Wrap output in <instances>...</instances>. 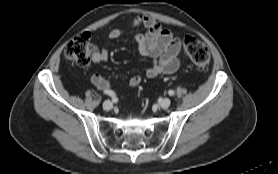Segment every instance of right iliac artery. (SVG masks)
Instances as JSON below:
<instances>
[{
	"label": "right iliac artery",
	"mask_w": 278,
	"mask_h": 174,
	"mask_svg": "<svg viewBox=\"0 0 278 174\" xmlns=\"http://www.w3.org/2000/svg\"><path fill=\"white\" fill-rule=\"evenodd\" d=\"M105 94L111 96L113 98L114 101H117L115 94L111 91H104Z\"/></svg>",
	"instance_id": "obj_1"
}]
</instances>
